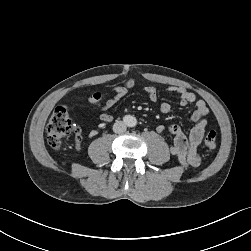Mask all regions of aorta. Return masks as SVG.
Returning <instances> with one entry per match:
<instances>
[{"label":"aorta","instance_id":"obj_1","mask_svg":"<svg viewBox=\"0 0 251 251\" xmlns=\"http://www.w3.org/2000/svg\"><path fill=\"white\" fill-rule=\"evenodd\" d=\"M137 123V120L135 117L133 116H128L127 119H126V124L127 126L129 127H134Z\"/></svg>","mask_w":251,"mask_h":251}]
</instances>
